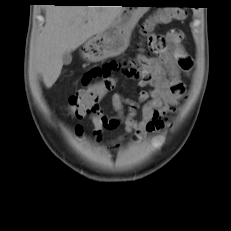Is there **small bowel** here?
<instances>
[{
	"instance_id": "obj_1",
	"label": "small bowel",
	"mask_w": 231,
	"mask_h": 231,
	"mask_svg": "<svg viewBox=\"0 0 231 231\" xmlns=\"http://www.w3.org/2000/svg\"><path fill=\"white\" fill-rule=\"evenodd\" d=\"M161 37L165 43L162 50L153 51L152 55H139L135 60L140 87L137 98L129 99L115 93L112 96L115 117H108L100 108L91 113L90 121L96 140L102 139L104 130H113L120 124H123L126 134L136 136L158 131L169 124V115L178 110L180 101L186 95L181 73H189L193 61L182 47V31L172 30ZM127 63L112 60L95 66L85 73L83 83L88 85L94 79H111L114 73L131 77L126 72ZM138 111L142 116L140 121L136 119ZM75 132L81 136L83 126L77 124ZM124 137L111 141L110 147L118 148Z\"/></svg>"
}]
</instances>
